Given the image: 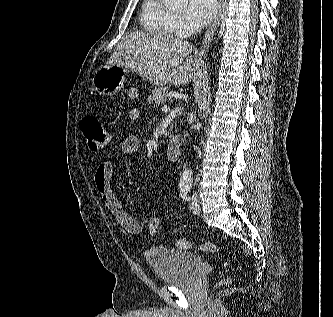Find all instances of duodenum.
Listing matches in <instances>:
<instances>
[{
	"instance_id": "410a0bca",
	"label": "duodenum",
	"mask_w": 333,
	"mask_h": 317,
	"mask_svg": "<svg viewBox=\"0 0 333 317\" xmlns=\"http://www.w3.org/2000/svg\"><path fill=\"white\" fill-rule=\"evenodd\" d=\"M167 158L171 161H177L181 155V141L179 137H173L169 140L166 147Z\"/></svg>"
}]
</instances>
